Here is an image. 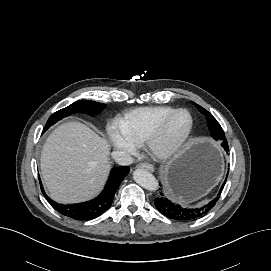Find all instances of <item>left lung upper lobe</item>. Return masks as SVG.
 Returning a JSON list of instances; mask_svg holds the SVG:
<instances>
[{"label": "left lung upper lobe", "instance_id": "left-lung-upper-lobe-1", "mask_svg": "<svg viewBox=\"0 0 271 271\" xmlns=\"http://www.w3.org/2000/svg\"><path fill=\"white\" fill-rule=\"evenodd\" d=\"M195 105L202 114L206 115L208 127L211 132V136L215 140H220V141L224 140L225 134H224L223 129L221 128L220 124L218 123V121L203 107H201L198 104H195Z\"/></svg>", "mask_w": 271, "mask_h": 271}]
</instances>
